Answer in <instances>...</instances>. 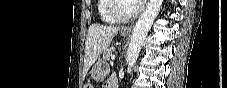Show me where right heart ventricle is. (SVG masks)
Returning a JSON list of instances; mask_svg holds the SVG:
<instances>
[{
  "instance_id": "e07e8e85",
  "label": "right heart ventricle",
  "mask_w": 227,
  "mask_h": 88,
  "mask_svg": "<svg viewBox=\"0 0 227 88\" xmlns=\"http://www.w3.org/2000/svg\"><path fill=\"white\" fill-rule=\"evenodd\" d=\"M109 0H97L98 12L102 21L116 23L117 21L108 12Z\"/></svg>"
}]
</instances>
